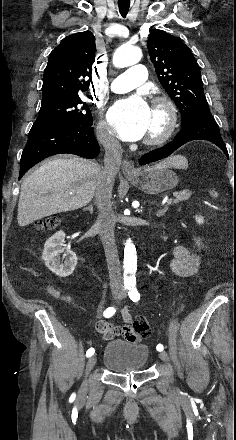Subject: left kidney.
Here are the masks:
<instances>
[{"label":"left kidney","instance_id":"1","mask_svg":"<svg viewBox=\"0 0 236 440\" xmlns=\"http://www.w3.org/2000/svg\"><path fill=\"white\" fill-rule=\"evenodd\" d=\"M195 220H196V222L200 225V224H203L204 223V218L202 217V216H200V215H196L195 216ZM200 239H198V240H196V244L198 245V246H200Z\"/></svg>","mask_w":236,"mask_h":440}]
</instances>
